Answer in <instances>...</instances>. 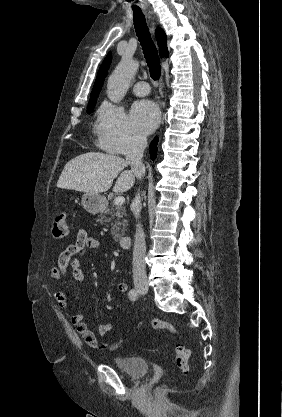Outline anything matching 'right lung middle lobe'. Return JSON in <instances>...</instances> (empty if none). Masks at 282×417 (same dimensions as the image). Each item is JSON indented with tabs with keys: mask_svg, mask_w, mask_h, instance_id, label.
<instances>
[{
	"mask_svg": "<svg viewBox=\"0 0 282 417\" xmlns=\"http://www.w3.org/2000/svg\"><path fill=\"white\" fill-rule=\"evenodd\" d=\"M98 95L90 96L87 112L91 113L95 107Z\"/></svg>",
	"mask_w": 282,
	"mask_h": 417,
	"instance_id": "right-lung-middle-lobe-1",
	"label": "right lung middle lobe"
}]
</instances>
